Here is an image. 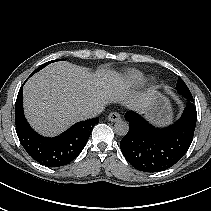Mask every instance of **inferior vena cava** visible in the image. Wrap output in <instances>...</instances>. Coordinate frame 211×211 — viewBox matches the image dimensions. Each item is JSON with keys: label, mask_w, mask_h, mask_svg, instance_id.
<instances>
[{"label": "inferior vena cava", "mask_w": 211, "mask_h": 211, "mask_svg": "<svg viewBox=\"0 0 211 211\" xmlns=\"http://www.w3.org/2000/svg\"><path fill=\"white\" fill-rule=\"evenodd\" d=\"M104 107L101 105H97V106H93L88 108L83 115L85 116V118H93L98 116L102 111H103Z\"/></svg>", "instance_id": "602c4592"}]
</instances>
